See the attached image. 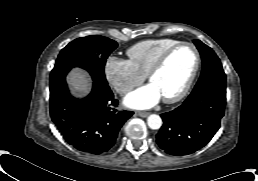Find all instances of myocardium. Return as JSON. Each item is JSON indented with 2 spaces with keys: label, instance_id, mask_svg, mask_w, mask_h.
I'll return each instance as SVG.
<instances>
[{
  "label": "myocardium",
  "instance_id": "myocardium-1",
  "mask_svg": "<svg viewBox=\"0 0 258 181\" xmlns=\"http://www.w3.org/2000/svg\"><path fill=\"white\" fill-rule=\"evenodd\" d=\"M183 46H188V47L192 48V50L194 51V53H195V65H194L193 71H192L188 81L186 82L185 86L183 87V89L178 94H176L172 97L162 98L163 101L165 103H168V104L179 102L190 91V89H191V87H192V85H193V83L196 79V76L199 72L200 64H201V56H200V52L197 49V47L193 43L186 42V41L176 43L175 45L168 48L166 51H164L159 56V58L156 60V62L153 64V66L151 67V69L149 70V72L147 74V78H148L149 82L151 83L154 76L160 72V70L163 68V66L165 65L167 60L170 58V56L176 50H178L179 48H181Z\"/></svg>",
  "mask_w": 258,
  "mask_h": 181
}]
</instances>
